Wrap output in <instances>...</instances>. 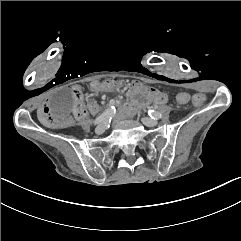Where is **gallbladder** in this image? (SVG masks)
Instances as JSON below:
<instances>
[{"mask_svg": "<svg viewBox=\"0 0 241 241\" xmlns=\"http://www.w3.org/2000/svg\"><path fill=\"white\" fill-rule=\"evenodd\" d=\"M53 114L57 118H66L74 112V93L70 89H61L52 97Z\"/></svg>", "mask_w": 241, "mask_h": 241, "instance_id": "bac80fb5", "label": "gallbladder"}]
</instances>
